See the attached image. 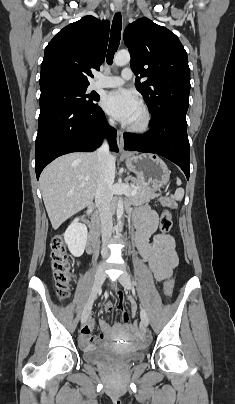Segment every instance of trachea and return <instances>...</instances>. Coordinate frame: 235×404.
I'll return each mask as SVG.
<instances>
[{"mask_svg": "<svg viewBox=\"0 0 235 404\" xmlns=\"http://www.w3.org/2000/svg\"><path fill=\"white\" fill-rule=\"evenodd\" d=\"M122 17L120 13H116L111 27L110 41L107 50V63L112 64L114 54L117 51L121 39Z\"/></svg>", "mask_w": 235, "mask_h": 404, "instance_id": "trachea-1", "label": "trachea"}]
</instances>
